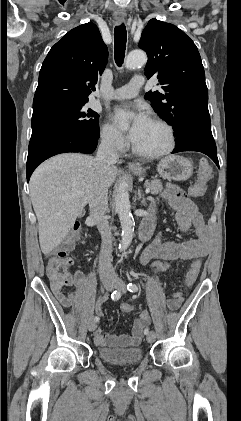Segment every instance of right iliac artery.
<instances>
[{
  "label": "right iliac artery",
  "mask_w": 241,
  "mask_h": 421,
  "mask_svg": "<svg viewBox=\"0 0 241 421\" xmlns=\"http://www.w3.org/2000/svg\"><path fill=\"white\" fill-rule=\"evenodd\" d=\"M120 297H121L120 292H118L116 290L111 293V298L114 301L118 300ZM99 320H100V318L98 316L94 317V321L98 322Z\"/></svg>",
  "instance_id": "obj_1"
}]
</instances>
